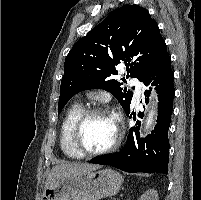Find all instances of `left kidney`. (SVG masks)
<instances>
[{"instance_id":"obj_1","label":"left kidney","mask_w":201,"mask_h":200,"mask_svg":"<svg viewBox=\"0 0 201 200\" xmlns=\"http://www.w3.org/2000/svg\"><path fill=\"white\" fill-rule=\"evenodd\" d=\"M138 200H158V193L155 189H149Z\"/></svg>"}]
</instances>
